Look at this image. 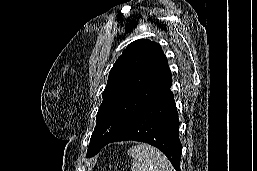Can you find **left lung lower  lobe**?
Listing matches in <instances>:
<instances>
[{
	"instance_id": "1",
	"label": "left lung lower lobe",
	"mask_w": 257,
	"mask_h": 171,
	"mask_svg": "<svg viewBox=\"0 0 257 171\" xmlns=\"http://www.w3.org/2000/svg\"><path fill=\"white\" fill-rule=\"evenodd\" d=\"M172 75L148 103L136 114L130 123L113 139L102 144L87 157L96 155L104 146L118 141H141L161 150L180 171L182 145L179 140V119L174 95L170 90Z\"/></svg>"
}]
</instances>
